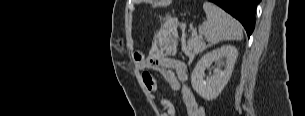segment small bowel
Wrapping results in <instances>:
<instances>
[{
  "mask_svg": "<svg viewBox=\"0 0 305 116\" xmlns=\"http://www.w3.org/2000/svg\"><path fill=\"white\" fill-rule=\"evenodd\" d=\"M134 60L136 67L143 71L142 78L150 94L156 93L158 84L155 78L148 73V70H156L163 76L171 90H181L187 116H205L204 108L197 102L194 93L186 84L188 69L182 61L167 56L158 43L152 45L148 55L136 52ZM146 73L149 77L145 76ZM159 102L164 109L161 116L176 115V109L168 99L159 98Z\"/></svg>",
  "mask_w": 305,
  "mask_h": 116,
  "instance_id": "1",
  "label": "small bowel"
}]
</instances>
